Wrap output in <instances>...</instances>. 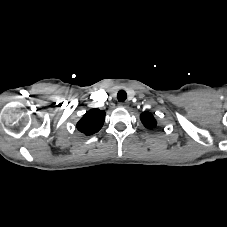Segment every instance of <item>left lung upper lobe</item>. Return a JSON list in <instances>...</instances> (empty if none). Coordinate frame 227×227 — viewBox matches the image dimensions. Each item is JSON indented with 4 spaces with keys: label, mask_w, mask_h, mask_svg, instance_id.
I'll return each mask as SVG.
<instances>
[{
    "label": "left lung upper lobe",
    "mask_w": 227,
    "mask_h": 227,
    "mask_svg": "<svg viewBox=\"0 0 227 227\" xmlns=\"http://www.w3.org/2000/svg\"><path fill=\"white\" fill-rule=\"evenodd\" d=\"M142 123L146 128L152 129L156 126V120L153 115L149 112H143L140 116Z\"/></svg>",
    "instance_id": "left-lung-upper-lobe-1"
}]
</instances>
